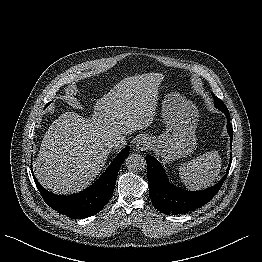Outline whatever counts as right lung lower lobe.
<instances>
[{
	"instance_id": "right-lung-lower-lobe-1",
	"label": "right lung lower lobe",
	"mask_w": 262,
	"mask_h": 262,
	"mask_svg": "<svg viewBox=\"0 0 262 262\" xmlns=\"http://www.w3.org/2000/svg\"><path fill=\"white\" fill-rule=\"evenodd\" d=\"M129 150L130 147L124 148L93 185L77 194L69 196L55 195L44 189L35 176L32 175L44 201L52 209L70 218L79 219L89 217L98 213L110 200L115 187L118 170L129 155Z\"/></svg>"
}]
</instances>
